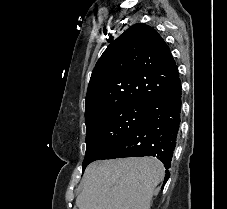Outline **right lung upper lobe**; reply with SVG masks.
<instances>
[{"label": "right lung upper lobe", "mask_w": 227, "mask_h": 209, "mask_svg": "<svg viewBox=\"0 0 227 209\" xmlns=\"http://www.w3.org/2000/svg\"><path fill=\"white\" fill-rule=\"evenodd\" d=\"M169 65H175V61L159 33L145 23L131 26L107 47L93 69L85 120L103 110L104 99L147 103L167 90L172 81L164 68Z\"/></svg>", "instance_id": "right-lung-upper-lobe-1"}]
</instances>
